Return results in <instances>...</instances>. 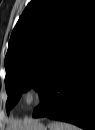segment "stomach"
I'll return each mask as SVG.
<instances>
[{
	"label": "stomach",
	"mask_w": 95,
	"mask_h": 130,
	"mask_svg": "<svg viewBox=\"0 0 95 130\" xmlns=\"http://www.w3.org/2000/svg\"><path fill=\"white\" fill-rule=\"evenodd\" d=\"M16 130H47L46 126L37 121V120H29L28 122L24 123L21 128Z\"/></svg>",
	"instance_id": "0dacf381"
}]
</instances>
